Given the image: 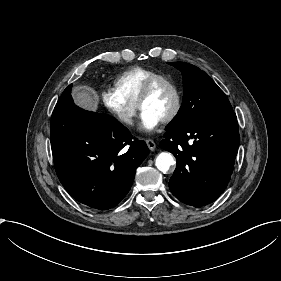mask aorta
Here are the masks:
<instances>
[{
  "instance_id": "1",
  "label": "aorta",
  "mask_w": 281,
  "mask_h": 281,
  "mask_svg": "<svg viewBox=\"0 0 281 281\" xmlns=\"http://www.w3.org/2000/svg\"><path fill=\"white\" fill-rule=\"evenodd\" d=\"M175 163L173 155L169 152H161L155 159V165L162 173L168 172Z\"/></svg>"
}]
</instances>
